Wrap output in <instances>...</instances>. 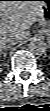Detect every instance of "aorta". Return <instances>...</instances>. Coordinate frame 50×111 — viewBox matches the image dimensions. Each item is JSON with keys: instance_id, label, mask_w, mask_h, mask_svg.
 <instances>
[{"instance_id": "obj_1", "label": "aorta", "mask_w": 50, "mask_h": 111, "mask_svg": "<svg viewBox=\"0 0 50 111\" xmlns=\"http://www.w3.org/2000/svg\"><path fill=\"white\" fill-rule=\"evenodd\" d=\"M29 48L34 53L42 54L46 51V43L38 37H33L30 40Z\"/></svg>"}]
</instances>
